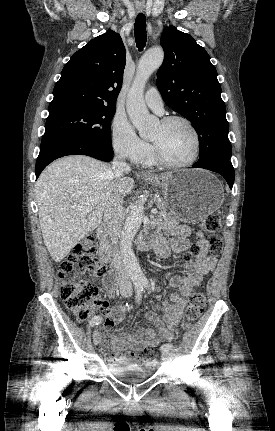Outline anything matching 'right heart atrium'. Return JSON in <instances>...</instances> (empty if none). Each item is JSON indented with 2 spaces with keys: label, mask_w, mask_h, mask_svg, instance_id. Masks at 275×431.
Instances as JSON below:
<instances>
[{
  "label": "right heart atrium",
  "mask_w": 275,
  "mask_h": 431,
  "mask_svg": "<svg viewBox=\"0 0 275 431\" xmlns=\"http://www.w3.org/2000/svg\"><path fill=\"white\" fill-rule=\"evenodd\" d=\"M111 140L115 152L132 162L143 160L149 145L141 140L124 115L116 114L111 124Z\"/></svg>",
  "instance_id": "right-heart-atrium-1"
}]
</instances>
